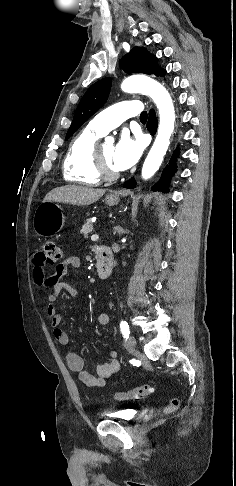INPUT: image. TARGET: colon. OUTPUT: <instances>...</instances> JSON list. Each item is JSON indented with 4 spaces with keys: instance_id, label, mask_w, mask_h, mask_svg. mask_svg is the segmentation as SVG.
<instances>
[{
    "instance_id": "1",
    "label": "colon",
    "mask_w": 236,
    "mask_h": 486,
    "mask_svg": "<svg viewBox=\"0 0 236 486\" xmlns=\"http://www.w3.org/2000/svg\"><path fill=\"white\" fill-rule=\"evenodd\" d=\"M43 261L46 264H54L62 256V249L59 245L52 241H48L44 244L41 252ZM154 388L148 384L140 385L134 389L117 392L114 394L116 400H132L138 398H144L149 396L153 392ZM179 407V400L177 398L172 399L168 405L164 408L166 413L175 411Z\"/></svg>"
}]
</instances>
